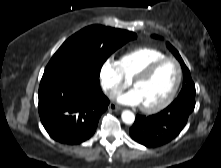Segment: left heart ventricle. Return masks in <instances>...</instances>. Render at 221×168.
I'll return each mask as SVG.
<instances>
[{
  "label": "left heart ventricle",
  "instance_id": "1",
  "mask_svg": "<svg viewBox=\"0 0 221 168\" xmlns=\"http://www.w3.org/2000/svg\"><path fill=\"white\" fill-rule=\"evenodd\" d=\"M177 75V66L169 61L160 65L146 80L137 83L134 90L141 105L153 106L162 102L173 89Z\"/></svg>",
  "mask_w": 221,
  "mask_h": 168
}]
</instances>
